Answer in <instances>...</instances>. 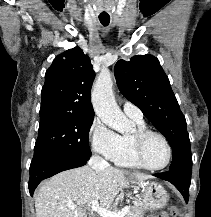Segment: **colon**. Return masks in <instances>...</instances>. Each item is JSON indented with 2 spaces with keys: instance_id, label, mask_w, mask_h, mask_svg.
Segmentation results:
<instances>
[{
  "instance_id": "obj_1",
  "label": "colon",
  "mask_w": 211,
  "mask_h": 217,
  "mask_svg": "<svg viewBox=\"0 0 211 217\" xmlns=\"http://www.w3.org/2000/svg\"><path fill=\"white\" fill-rule=\"evenodd\" d=\"M178 211L176 208L172 207L169 213L163 212L157 215V217H177Z\"/></svg>"
}]
</instances>
